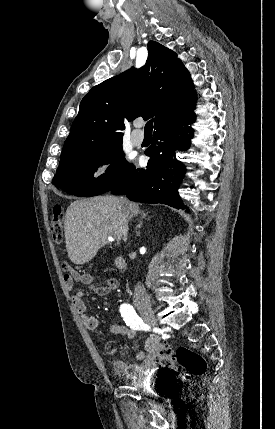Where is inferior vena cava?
<instances>
[{"mask_svg": "<svg viewBox=\"0 0 275 429\" xmlns=\"http://www.w3.org/2000/svg\"><path fill=\"white\" fill-rule=\"evenodd\" d=\"M131 218L132 216H129L128 220H131ZM134 301L136 303H146V304L150 303V298L146 292V289L141 283H138L137 286L135 287Z\"/></svg>", "mask_w": 275, "mask_h": 429, "instance_id": "1", "label": "inferior vena cava"}]
</instances>
